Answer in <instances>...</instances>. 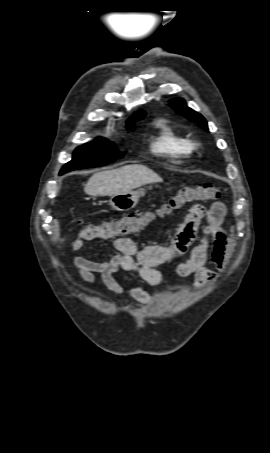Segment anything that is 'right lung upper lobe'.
Wrapping results in <instances>:
<instances>
[{"label": "right lung upper lobe", "mask_w": 270, "mask_h": 453, "mask_svg": "<svg viewBox=\"0 0 270 453\" xmlns=\"http://www.w3.org/2000/svg\"><path fill=\"white\" fill-rule=\"evenodd\" d=\"M145 116L144 111L136 112L128 121H127V128L134 125V122L138 119H142Z\"/></svg>", "instance_id": "1"}]
</instances>
